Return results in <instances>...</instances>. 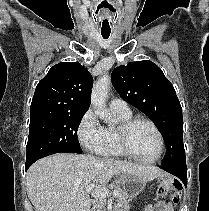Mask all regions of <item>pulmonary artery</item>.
<instances>
[{
    "label": "pulmonary artery",
    "instance_id": "e3ab8cb5",
    "mask_svg": "<svg viewBox=\"0 0 209 211\" xmlns=\"http://www.w3.org/2000/svg\"><path fill=\"white\" fill-rule=\"evenodd\" d=\"M110 109L119 113H130V108L126 101L120 98H114L110 101Z\"/></svg>",
    "mask_w": 209,
    "mask_h": 211
}]
</instances>
